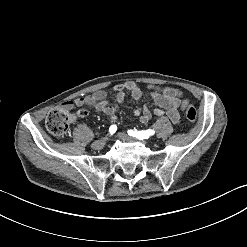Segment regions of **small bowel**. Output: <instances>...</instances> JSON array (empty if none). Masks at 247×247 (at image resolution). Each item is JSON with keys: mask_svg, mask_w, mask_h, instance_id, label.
Instances as JSON below:
<instances>
[{"mask_svg": "<svg viewBox=\"0 0 247 247\" xmlns=\"http://www.w3.org/2000/svg\"><path fill=\"white\" fill-rule=\"evenodd\" d=\"M116 91L115 102L110 104L107 99V94L104 90H97L90 95L75 98L66 101L62 104L65 110L73 107L89 106L106 114L112 121L116 120V111L119 105L124 101L125 93H130L134 100H140L144 95L151 98L157 105V108H152L150 105H145L142 110L136 109L133 112L134 117L140 116L142 123H147L153 115L160 116L166 113L173 123H178L180 119L179 109L185 107L186 99L183 98V93L178 88L172 87H149L144 91L137 83L127 81L120 83L114 87ZM79 117L84 118L88 115L86 109L78 111Z\"/></svg>", "mask_w": 247, "mask_h": 247, "instance_id": "obj_1", "label": "small bowel"}]
</instances>
